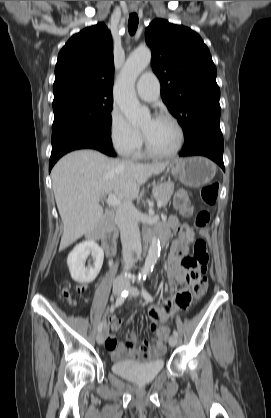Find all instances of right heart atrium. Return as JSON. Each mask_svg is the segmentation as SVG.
<instances>
[{
    "label": "right heart atrium",
    "instance_id": "1",
    "mask_svg": "<svg viewBox=\"0 0 271 418\" xmlns=\"http://www.w3.org/2000/svg\"><path fill=\"white\" fill-rule=\"evenodd\" d=\"M109 137L113 148L121 156L133 155L142 143L140 130L132 126L117 107H113L110 113Z\"/></svg>",
    "mask_w": 271,
    "mask_h": 418
}]
</instances>
